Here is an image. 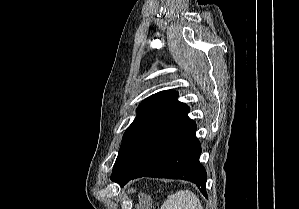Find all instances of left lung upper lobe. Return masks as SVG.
Masks as SVG:
<instances>
[{"label": "left lung upper lobe", "mask_w": 299, "mask_h": 209, "mask_svg": "<svg viewBox=\"0 0 299 209\" xmlns=\"http://www.w3.org/2000/svg\"><path fill=\"white\" fill-rule=\"evenodd\" d=\"M177 96V92L173 90L161 91L151 95L145 99L138 107V115L134 119L133 123L127 128L124 133L122 144L132 134V132L153 112H155L163 104L167 103L171 99Z\"/></svg>", "instance_id": "obj_1"}]
</instances>
